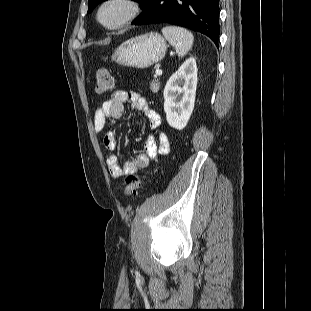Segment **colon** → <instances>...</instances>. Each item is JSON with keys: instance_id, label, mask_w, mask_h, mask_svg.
I'll list each match as a JSON object with an SVG mask.
<instances>
[{"instance_id": "5ec220e1", "label": "colon", "mask_w": 311, "mask_h": 311, "mask_svg": "<svg viewBox=\"0 0 311 311\" xmlns=\"http://www.w3.org/2000/svg\"><path fill=\"white\" fill-rule=\"evenodd\" d=\"M114 79L110 71L106 68H100L96 72L95 90L99 94L108 93L113 89ZM141 187V178L136 174H129L126 177L123 193L126 197H134Z\"/></svg>"}]
</instances>
